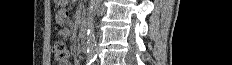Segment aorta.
I'll return each mask as SVG.
<instances>
[{
	"label": "aorta",
	"instance_id": "762f6f07",
	"mask_svg": "<svg viewBox=\"0 0 232 65\" xmlns=\"http://www.w3.org/2000/svg\"><path fill=\"white\" fill-rule=\"evenodd\" d=\"M102 0H90L87 12V37H86V51L87 56L94 58L97 53V41L95 36L94 20L97 10L100 8Z\"/></svg>",
	"mask_w": 232,
	"mask_h": 65
}]
</instances>
